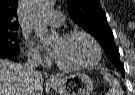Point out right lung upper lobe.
<instances>
[{"mask_svg":"<svg viewBox=\"0 0 135 95\" xmlns=\"http://www.w3.org/2000/svg\"><path fill=\"white\" fill-rule=\"evenodd\" d=\"M17 5L18 0H0V31L18 28Z\"/></svg>","mask_w":135,"mask_h":95,"instance_id":"1","label":"right lung upper lobe"}]
</instances>
